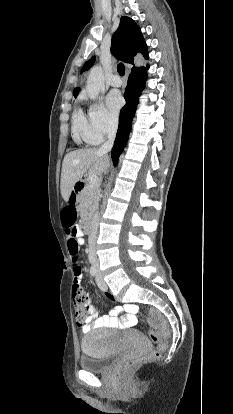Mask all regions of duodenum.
<instances>
[{
    "label": "duodenum",
    "instance_id": "duodenum-1",
    "mask_svg": "<svg viewBox=\"0 0 233 414\" xmlns=\"http://www.w3.org/2000/svg\"><path fill=\"white\" fill-rule=\"evenodd\" d=\"M85 186L86 185H85L84 181H82V180L75 181L74 184H73V188H72L73 196L75 197L79 193H81L85 189ZM73 206H75V201H70V203H66L64 205V210L66 212H71L73 210ZM82 230L85 233H90L93 230V225H92L91 220H89V219L84 220V222L82 224Z\"/></svg>",
    "mask_w": 233,
    "mask_h": 414
}]
</instances>
